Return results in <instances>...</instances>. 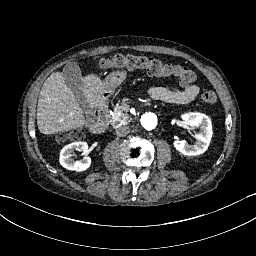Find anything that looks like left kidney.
<instances>
[{"label":"left kidney","instance_id":"obj_1","mask_svg":"<svg viewBox=\"0 0 256 256\" xmlns=\"http://www.w3.org/2000/svg\"><path fill=\"white\" fill-rule=\"evenodd\" d=\"M183 119L189 126H199L200 133L195 136V144H188L185 140L178 139L173 141V147L184 156H198L205 153L212 137L211 120L201 113H188Z\"/></svg>","mask_w":256,"mask_h":256}]
</instances>
